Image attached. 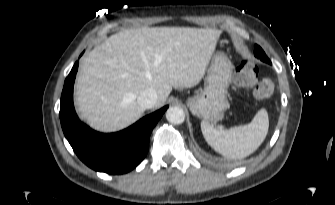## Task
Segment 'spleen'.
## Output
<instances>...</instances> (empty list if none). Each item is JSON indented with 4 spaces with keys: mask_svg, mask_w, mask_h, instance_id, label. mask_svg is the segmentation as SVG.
<instances>
[{
    "mask_svg": "<svg viewBox=\"0 0 335 205\" xmlns=\"http://www.w3.org/2000/svg\"><path fill=\"white\" fill-rule=\"evenodd\" d=\"M269 128L266 109H260L249 124L223 130L207 121L201 122L206 142L218 153L230 159H243L263 143Z\"/></svg>",
    "mask_w": 335,
    "mask_h": 205,
    "instance_id": "3e777b00",
    "label": "spleen"
}]
</instances>
